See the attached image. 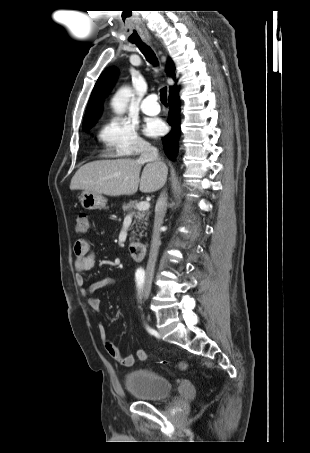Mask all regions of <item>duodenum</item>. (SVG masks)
Masks as SVG:
<instances>
[{"instance_id": "obj_1", "label": "duodenum", "mask_w": 310, "mask_h": 453, "mask_svg": "<svg viewBox=\"0 0 310 453\" xmlns=\"http://www.w3.org/2000/svg\"><path fill=\"white\" fill-rule=\"evenodd\" d=\"M129 252L134 260L141 261L146 256L147 247L144 243L132 242L129 245Z\"/></svg>"}]
</instances>
